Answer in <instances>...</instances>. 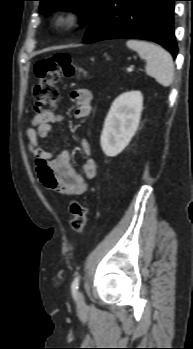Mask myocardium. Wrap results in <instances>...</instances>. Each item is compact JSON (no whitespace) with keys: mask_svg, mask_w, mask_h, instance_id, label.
I'll return each instance as SVG.
<instances>
[{"mask_svg":"<svg viewBox=\"0 0 193 349\" xmlns=\"http://www.w3.org/2000/svg\"><path fill=\"white\" fill-rule=\"evenodd\" d=\"M82 17L81 11L75 6H68L57 10L50 19V25L58 31L66 30L76 25Z\"/></svg>","mask_w":193,"mask_h":349,"instance_id":"obj_1","label":"myocardium"}]
</instances>
